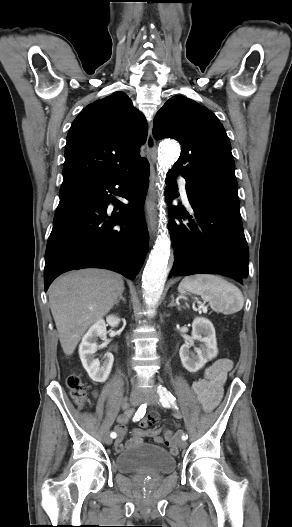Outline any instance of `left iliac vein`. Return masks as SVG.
I'll return each mask as SVG.
<instances>
[{
	"label": "left iliac vein",
	"mask_w": 292,
	"mask_h": 527,
	"mask_svg": "<svg viewBox=\"0 0 292 527\" xmlns=\"http://www.w3.org/2000/svg\"><path fill=\"white\" fill-rule=\"evenodd\" d=\"M148 404L155 405L158 401V395L154 392H148L146 394V397L144 399ZM187 446V443L185 440L179 441V447L185 448Z\"/></svg>",
	"instance_id": "4c4485c4"
}]
</instances>
